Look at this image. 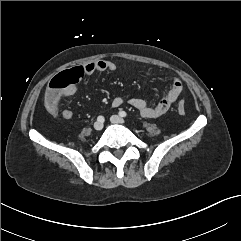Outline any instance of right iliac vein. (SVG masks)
Here are the masks:
<instances>
[{
  "instance_id": "right-iliac-vein-1",
  "label": "right iliac vein",
  "mask_w": 241,
  "mask_h": 241,
  "mask_svg": "<svg viewBox=\"0 0 241 241\" xmlns=\"http://www.w3.org/2000/svg\"><path fill=\"white\" fill-rule=\"evenodd\" d=\"M103 122L97 121L94 123V129L100 131L103 128Z\"/></svg>"
}]
</instances>
